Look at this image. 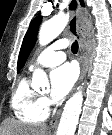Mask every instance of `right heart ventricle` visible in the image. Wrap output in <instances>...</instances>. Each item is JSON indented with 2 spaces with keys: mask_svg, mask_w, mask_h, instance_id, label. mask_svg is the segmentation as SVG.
Masks as SVG:
<instances>
[{
  "mask_svg": "<svg viewBox=\"0 0 112 135\" xmlns=\"http://www.w3.org/2000/svg\"><path fill=\"white\" fill-rule=\"evenodd\" d=\"M11 108L19 120L29 124L41 123L48 116L42 97L31 87L27 77L22 78L14 89Z\"/></svg>",
  "mask_w": 112,
  "mask_h": 135,
  "instance_id": "e07e8e85",
  "label": "right heart ventricle"
}]
</instances>
